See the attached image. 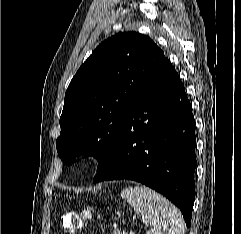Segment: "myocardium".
<instances>
[{
    "label": "myocardium",
    "mask_w": 241,
    "mask_h": 234,
    "mask_svg": "<svg viewBox=\"0 0 241 234\" xmlns=\"http://www.w3.org/2000/svg\"><path fill=\"white\" fill-rule=\"evenodd\" d=\"M95 153H88V154H86V156H85V161L86 162H89V161H91V160H93L94 158H95Z\"/></svg>",
    "instance_id": "myocardium-1"
}]
</instances>
